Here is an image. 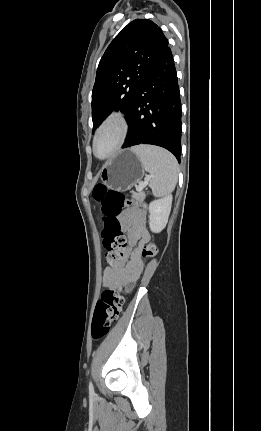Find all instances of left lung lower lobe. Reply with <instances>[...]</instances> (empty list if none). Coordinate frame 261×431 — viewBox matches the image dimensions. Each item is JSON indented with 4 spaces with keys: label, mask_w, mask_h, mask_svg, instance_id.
<instances>
[{
    "label": "left lung lower lobe",
    "mask_w": 261,
    "mask_h": 431,
    "mask_svg": "<svg viewBox=\"0 0 261 431\" xmlns=\"http://www.w3.org/2000/svg\"><path fill=\"white\" fill-rule=\"evenodd\" d=\"M122 148L152 144L169 150L180 162L181 102L177 74L169 47L149 69L128 117Z\"/></svg>",
    "instance_id": "0a47b994"
}]
</instances>
